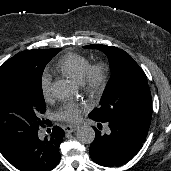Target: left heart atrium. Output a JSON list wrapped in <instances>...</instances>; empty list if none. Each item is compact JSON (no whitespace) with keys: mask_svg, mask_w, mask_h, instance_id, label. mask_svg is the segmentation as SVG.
Wrapping results in <instances>:
<instances>
[{"mask_svg":"<svg viewBox=\"0 0 171 171\" xmlns=\"http://www.w3.org/2000/svg\"><path fill=\"white\" fill-rule=\"evenodd\" d=\"M83 107L74 102H66L57 113V118L67 122H77L81 118Z\"/></svg>","mask_w":171,"mask_h":171,"instance_id":"1","label":"left heart atrium"}]
</instances>
